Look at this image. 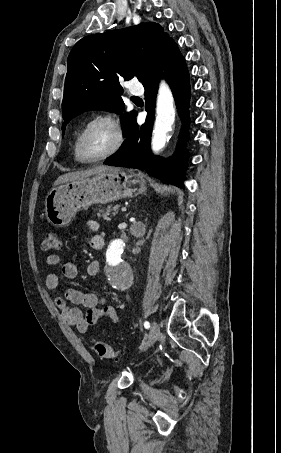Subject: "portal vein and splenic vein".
<instances>
[{
	"instance_id": "1",
	"label": "portal vein and splenic vein",
	"mask_w": 281,
	"mask_h": 453,
	"mask_svg": "<svg viewBox=\"0 0 281 453\" xmlns=\"http://www.w3.org/2000/svg\"><path fill=\"white\" fill-rule=\"evenodd\" d=\"M120 211L124 213L127 211V208L123 206V207H121Z\"/></svg>"
}]
</instances>
